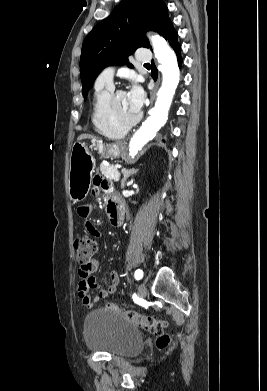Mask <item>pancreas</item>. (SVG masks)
<instances>
[{
    "label": "pancreas",
    "mask_w": 267,
    "mask_h": 391,
    "mask_svg": "<svg viewBox=\"0 0 267 391\" xmlns=\"http://www.w3.org/2000/svg\"><path fill=\"white\" fill-rule=\"evenodd\" d=\"M100 171L108 180L118 181L120 174L115 167L107 166L105 164L100 165Z\"/></svg>",
    "instance_id": "cf45deb5"
}]
</instances>
